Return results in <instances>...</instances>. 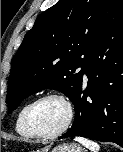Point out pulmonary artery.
<instances>
[{
	"mask_svg": "<svg viewBox=\"0 0 123 152\" xmlns=\"http://www.w3.org/2000/svg\"><path fill=\"white\" fill-rule=\"evenodd\" d=\"M84 78H86V74L84 73Z\"/></svg>",
	"mask_w": 123,
	"mask_h": 152,
	"instance_id": "1",
	"label": "pulmonary artery"
}]
</instances>
